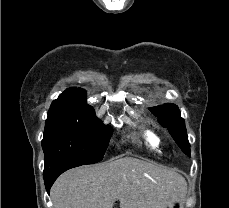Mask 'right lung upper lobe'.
<instances>
[{
    "mask_svg": "<svg viewBox=\"0 0 229 208\" xmlns=\"http://www.w3.org/2000/svg\"><path fill=\"white\" fill-rule=\"evenodd\" d=\"M86 97L87 94L84 89L71 87L66 89L58 99L54 100L50 108L68 109L88 117L96 118L94 109L86 103Z\"/></svg>",
    "mask_w": 229,
    "mask_h": 208,
    "instance_id": "1",
    "label": "right lung upper lobe"
}]
</instances>
